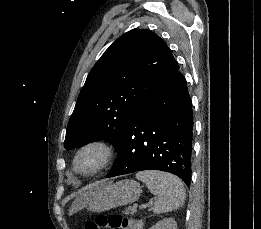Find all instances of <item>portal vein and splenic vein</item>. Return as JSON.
I'll list each match as a JSON object with an SVG mask.
<instances>
[{
	"instance_id": "18ae733b",
	"label": "portal vein and splenic vein",
	"mask_w": 261,
	"mask_h": 229,
	"mask_svg": "<svg viewBox=\"0 0 261 229\" xmlns=\"http://www.w3.org/2000/svg\"><path fill=\"white\" fill-rule=\"evenodd\" d=\"M152 203H147V205H141L140 203H134L133 207L134 208H139V209H146V207H151Z\"/></svg>"
}]
</instances>
